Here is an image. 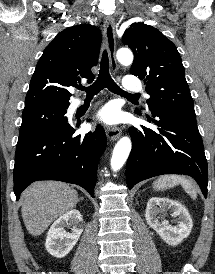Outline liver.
Returning <instances> with one entry per match:
<instances>
[{"mask_svg":"<svg viewBox=\"0 0 215 274\" xmlns=\"http://www.w3.org/2000/svg\"><path fill=\"white\" fill-rule=\"evenodd\" d=\"M78 202L75 189L57 181H38L21 195V213L28 232L41 235L58 217L73 209Z\"/></svg>","mask_w":215,"mask_h":274,"instance_id":"6515ba94","label":"liver"}]
</instances>
